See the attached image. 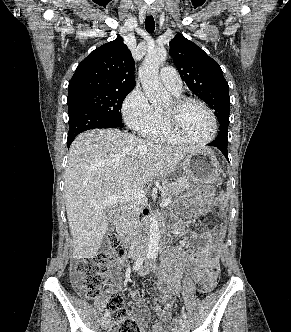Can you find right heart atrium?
<instances>
[{"label": "right heart atrium", "instance_id": "right-heart-atrium-1", "mask_svg": "<svg viewBox=\"0 0 291 332\" xmlns=\"http://www.w3.org/2000/svg\"><path fill=\"white\" fill-rule=\"evenodd\" d=\"M122 114L127 126L143 133L156 124L155 108L140 88H134L125 98Z\"/></svg>", "mask_w": 291, "mask_h": 332}]
</instances>
